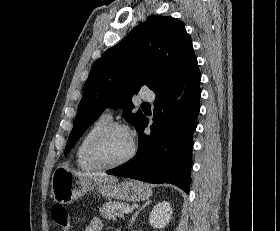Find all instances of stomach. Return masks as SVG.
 <instances>
[{
  "label": "stomach",
  "instance_id": "stomach-1",
  "mask_svg": "<svg viewBox=\"0 0 280 231\" xmlns=\"http://www.w3.org/2000/svg\"><path fill=\"white\" fill-rule=\"evenodd\" d=\"M94 189L103 197H108V199L116 197L123 201H142V199H149L152 195L150 187L140 181H122V183L93 181L89 177L75 175L65 165L56 167L52 173L51 195L57 203H71L74 199H78Z\"/></svg>",
  "mask_w": 280,
  "mask_h": 231
}]
</instances>
